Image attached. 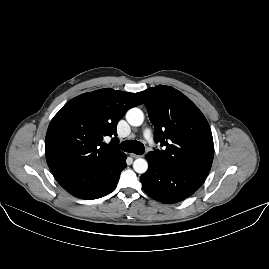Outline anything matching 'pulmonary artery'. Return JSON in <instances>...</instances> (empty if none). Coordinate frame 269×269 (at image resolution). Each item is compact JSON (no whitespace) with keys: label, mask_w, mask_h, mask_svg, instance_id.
<instances>
[{"label":"pulmonary artery","mask_w":269,"mask_h":269,"mask_svg":"<svg viewBox=\"0 0 269 269\" xmlns=\"http://www.w3.org/2000/svg\"><path fill=\"white\" fill-rule=\"evenodd\" d=\"M143 135H144V138H145L149 143L152 142L153 135H152L151 130L146 129V130L144 131Z\"/></svg>","instance_id":"1"}]
</instances>
